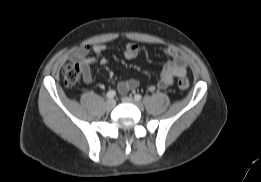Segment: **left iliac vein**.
Masks as SVG:
<instances>
[{"label": "left iliac vein", "instance_id": "4c4485c4", "mask_svg": "<svg viewBox=\"0 0 261 182\" xmlns=\"http://www.w3.org/2000/svg\"><path fill=\"white\" fill-rule=\"evenodd\" d=\"M122 101L124 103H130V104H133L135 106H137L138 108L142 109L143 108V105L141 102L137 101L136 99L132 98V97H123L122 98Z\"/></svg>", "mask_w": 261, "mask_h": 182}]
</instances>
